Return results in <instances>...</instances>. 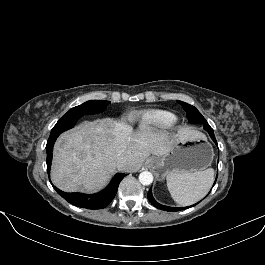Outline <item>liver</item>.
<instances>
[{"mask_svg":"<svg viewBox=\"0 0 265 265\" xmlns=\"http://www.w3.org/2000/svg\"><path fill=\"white\" fill-rule=\"evenodd\" d=\"M200 135L183 127L177 137L187 140ZM172 143L165 133L149 128L133 132L130 126L111 118L84 121L57 139L51 179L65 192H97L107 184L116 169L136 171L150 154H167ZM118 151H123L126 158L122 166L116 164Z\"/></svg>","mask_w":265,"mask_h":265,"instance_id":"liver-1","label":"liver"}]
</instances>
